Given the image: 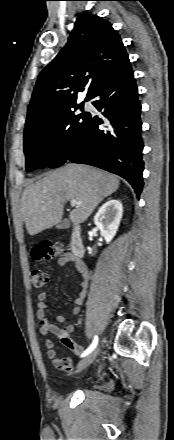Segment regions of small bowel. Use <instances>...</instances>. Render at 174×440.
<instances>
[{"mask_svg":"<svg viewBox=\"0 0 174 440\" xmlns=\"http://www.w3.org/2000/svg\"><path fill=\"white\" fill-rule=\"evenodd\" d=\"M58 265L65 267L67 265H73L81 273L80 289L78 295L75 298V306L72 308L73 314L80 313V305L83 304L88 290L89 275L81 260L76 258L72 254H67L59 258ZM47 294L41 292L37 296V311L36 317L40 322L39 332L45 339V346L47 349V356L53 360L54 366L61 370H70L72 365L71 358H58L55 349V342L49 338L50 335H54L60 339V341L75 355H79L82 352V347L76 343L72 335L75 332L74 325H68L65 327H59L49 321L47 317ZM57 323H64L66 321L65 315H57L55 317Z\"/></svg>","mask_w":174,"mask_h":440,"instance_id":"1","label":"small bowel"}]
</instances>
